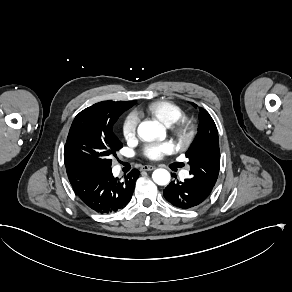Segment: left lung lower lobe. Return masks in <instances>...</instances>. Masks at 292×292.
<instances>
[{
  "label": "left lung lower lobe",
  "mask_w": 292,
  "mask_h": 292,
  "mask_svg": "<svg viewBox=\"0 0 292 292\" xmlns=\"http://www.w3.org/2000/svg\"><path fill=\"white\" fill-rule=\"evenodd\" d=\"M213 187L185 179L172 181L163 191L164 198L173 206L190 209L200 205L211 193Z\"/></svg>",
  "instance_id": "1"
}]
</instances>
